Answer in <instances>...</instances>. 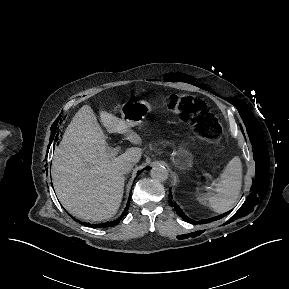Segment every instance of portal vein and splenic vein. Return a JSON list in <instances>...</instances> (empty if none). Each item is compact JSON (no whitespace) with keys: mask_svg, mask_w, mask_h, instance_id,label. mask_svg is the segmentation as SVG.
Wrapping results in <instances>:
<instances>
[{"mask_svg":"<svg viewBox=\"0 0 289 289\" xmlns=\"http://www.w3.org/2000/svg\"><path fill=\"white\" fill-rule=\"evenodd\" d=\"M117 153H118V150H117V148H115L111 151L110 156L115 157L117 155Z\"/></svg>","mask_w":289,"mask_h":289,"instance_id":"1","label":"portal vein and splenic vein"}]
</instances>
